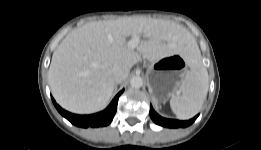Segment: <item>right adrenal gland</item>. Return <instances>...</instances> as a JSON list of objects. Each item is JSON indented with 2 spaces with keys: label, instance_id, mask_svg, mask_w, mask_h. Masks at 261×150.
<instances>
[{
  "label": "right adrenal gland",
  "instance_id": "right-adrenal-gland-1",
  "mask_svg": "<svg viewBox=\"0 0 261 150\" xmlns=\"http://www.w3.org/2000/svg\"><path fill=\"white\" fill-rule=\"evenodd\" d=\"M118 84H119V83H116V84H115V90L117 89Z\"/></svg>",
  "mask_w": 261,
  "mask_h": 150
}]
</instances>
